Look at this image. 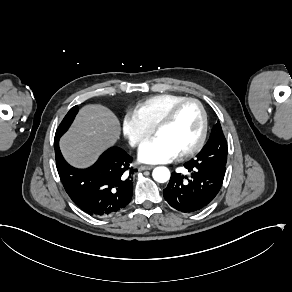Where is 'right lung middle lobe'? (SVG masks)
Returning <instances> with one entry per match:
<instances>
[{
    "label": "right lung middle lobe",
    "instance_id": "obj_1",
    "mask_svg": "<svg viewBox=\"0 0 292 292\" xmlns=\"http://www.w3.org/2000/svg\"><path fill=\"white\" fill-rule=\"evenodd\" d=\"M77 112H78L77 106H74L69 110V112L66 114V116L64 117V119L62 120L61 124L59 125L56 131L55 141L59 140V138L68 130Z\"/></svg>",
    "mask_w": 292,
    "mask_h": 292
}]
</instances>
